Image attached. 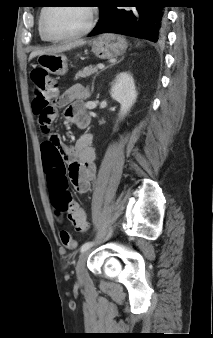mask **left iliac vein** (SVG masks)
I'll use <instances>...</instances> for the list:
<instances>
[{
  "label": "left iliac vein",
  "instance_id": "4c4485c4",
  "mask_svg": "<svg viewBox=\"0 0 213 338\" xmlns=\"http://www.w3.org/2000/svg\"><path fill=\"white\" fill-rule=\"evenodd\" d=\"M88 255H89V251L87 250L80 255L77 261L76 274L79 280H82L85 276L86 260H87Z\"/></svg>",
  "mask_w": 213,
  "mask_h": 338
}]
</instances>
